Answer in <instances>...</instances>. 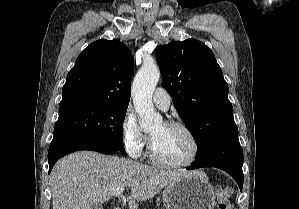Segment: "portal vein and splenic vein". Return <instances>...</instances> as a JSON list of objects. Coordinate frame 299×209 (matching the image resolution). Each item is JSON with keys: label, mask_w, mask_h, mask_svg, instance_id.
Here are the masks:
<instances>
[{"label": "portal vein and splenic vein", "mask_w": 299, "mask_h": 209, "mask_svg": "<svg viewBox=\"0 0 299 209\" xmlns=\"http://www.w3.org/2000/svg\"><path fill=\"white\" fill-rule=\"evenodd\" d=\"M123 190H124V188H122V187L119 188V189L116 190V192L114 193V196H116V197L120 196V195L122 194Z\"/></svg>", "instance_id": "portal-vein-and-splenic-vein-1"}]
</instances>
